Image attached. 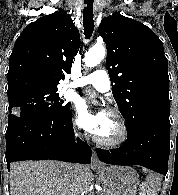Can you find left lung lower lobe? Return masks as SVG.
<instances>
[{
	"instance_id": "1",
	"label": "left lung lower lobe",
	"mask_w": 178,
	"mask_h": 195,
	"mask_svg": "<svg viewBox=\"0 0 178 195\" xmlns=\"http://www.w3.org/2000/svg\"><path fill=\"white\" fill-rule=\"evenodd\" d=\"M170 125L144 123L132 132L120 148L96 149L98 158L113 165H141L166 175L170 153Z\"/></svg>"
}]
</instances>
